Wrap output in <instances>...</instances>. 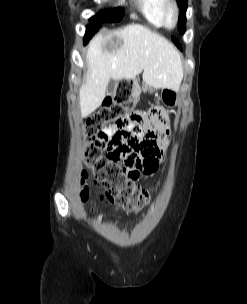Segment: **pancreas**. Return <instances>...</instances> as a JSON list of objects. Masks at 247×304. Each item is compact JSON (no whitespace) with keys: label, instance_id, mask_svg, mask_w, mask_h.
Wrapping results in <instances>:
<instances>
[{"label":"pancreas","instance_id":"pancreas-1","mask_svg":"<svg viewBox=\"0 0 247 304\" xmlns=\"http://www.w3.org/2000/svg\"><path fill=\"white\" fill-rule=\"evenodd\" d=\"M140 92H141L140 89L135 90V91H133L132 96H133V97H137V96L140 94Z\"/></svg>","mask_w":247,"mask_h":304}]
</instances>
